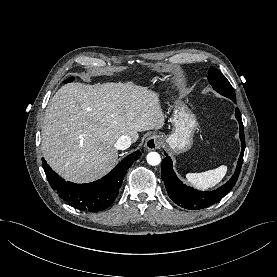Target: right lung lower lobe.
Segmentation results:
<instances>
[{"label":"right lung lower lobe","instance_id":"98d812e1","mask_svg":"<svg viewBox=\"0 0 277 277\" xmlns=\"http://www.w3.org/2000/svg\"><path fill=\"white\" fill-rule=\"evenodd\" d=\"M140 155V151L128 155L108 175L87 184L66 182L43 158L42 166L51 187L61 198L79 210L97 212L105 210L114 202L128 168Z\"/></svg>","mask_w":277,"mask_h":277}]
</instances>
